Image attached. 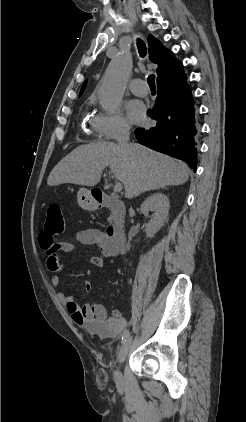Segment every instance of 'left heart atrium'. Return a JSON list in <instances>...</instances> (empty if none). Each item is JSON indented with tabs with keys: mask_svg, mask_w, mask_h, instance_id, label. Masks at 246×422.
I'll list each match as a JSON object with an SVG mask.
<instances>
[{
	"mask_svg": "<svg viewBox=\"0 0 246 422\" xmlns=\"http://www.w3.org/2000/svg\"><path fill=\"white\" fill-rule=\"evenodd\" d=\"M128 114L132 121L140 123L144 119L145 107L142 102L133 100L127 105Z\"/></svg>",
	"mask_w": 246,
	"mask_h": 422,
	"instance_id": "39dd6f15",
	"label": "left heart atrium"
}]
</instances>
